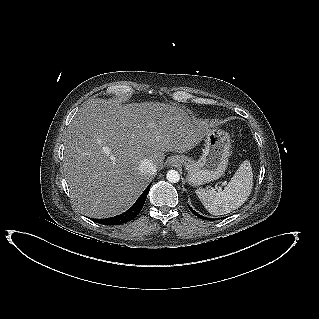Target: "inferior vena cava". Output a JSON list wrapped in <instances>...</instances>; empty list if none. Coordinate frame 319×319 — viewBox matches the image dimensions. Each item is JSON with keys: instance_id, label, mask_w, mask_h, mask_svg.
<instances>
[{"instance_id": "obj_1", "label": "inferior vena cava", "mask_w": 319, "mask_h": 319, "mask_svg": "<svg viewBox=\"0 0 319 319\" xmlns=\"http://www.w3.org/2000/svg\"><path fill=\"white\" fill-rule=\"evenodd\" d=\"M139 169L143 174L154 175L157 171L156 165L149 159L140 162Z\"/></svg>"}]
</instances>
